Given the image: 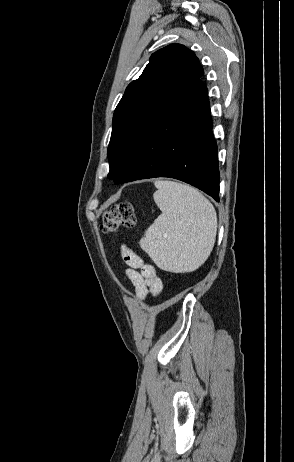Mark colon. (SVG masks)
Returning <instances> with one entry per match:
<instances>
[{
	"mask_svg": "<svg viewBox=\"0 0 294 462\" xmlns=\"http://www.w3.org/2000/svg\"><path fill=\"white\" fill-rule=\"evenodd\" d=\"M135 213L130 202H121L112 206L103 214L101 230L105 233L113 232L119 227H133Z\"/></svg>",
	"mask_w": 294,
	"mask_h": 462,
	"instance_id": "5ec220e1",
	"label": "colon"
}]
</instances>
